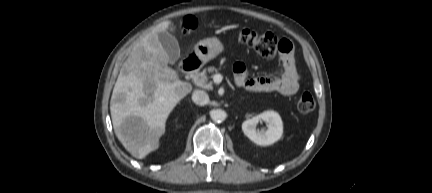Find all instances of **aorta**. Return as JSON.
I'll return each instance as SVG.
<instances>
[{
    "instance_id": "762f6f07",
    "label": "aorta",
    "mask_w": 432,
    "mask_h": 193,
    "mask_svg": "<svg viewBox=\"0 0 432 193\" xmlns=\"http://www.w3.org/2000/svg\"><path fill=\"white\" fill-rule=\"evenodd\" d=\"M210 116H211V119H212L214 122L221 123V122H223V121L226 119L227 114H226V112H225L224 110H222V109H216V110H213V111L210 113Z\"/></svg>"
}]
</instances>
